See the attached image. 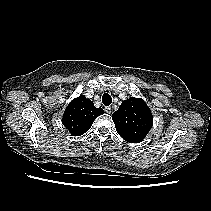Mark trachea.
<instances>
[{"label":"trachea","instance_id":"obj_1","mask_svg":"<svg viewBox=\"0 0 211 211\" xmlns=\"http://www.w3.org/2000/svg\"><path fill=\"white\" fill-rule=\"evenodd\" d=\"M102 102L105 106H109L112 103V97L108 93H105L102 96Z\"/></svg>","mask_w":211,"mask_h":211}]
</instances>
